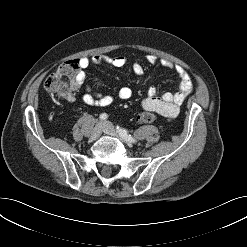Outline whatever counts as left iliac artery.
<instances>
[{
    "instance_id": "left-iliac-artery-1",
    "label": "left iliac artery",
    "mask_w": 247,
    "mask_h": 247,
    "mask_svg": "<svg viewBox=\"0 0 247 247\" xmlns=\"http://www.w3.org/2000/svg\"><path fill=\"white\" fill-rule=\"evenodd\" d=\"M117 132L119 133V135L124 138L126 141L128 142H132L135 143V139L128 133L127 130L120 128L119 126L116 127Z\"/></svg>"
}]
</instances>
